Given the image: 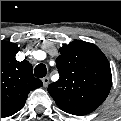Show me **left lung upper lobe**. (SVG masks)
<instances>
[{
  "label": "left lung upper lobe",
  "mask_w": 121,
  "mask_h": 121,
  "mask_svg": "<svg viewBox=\"0 0 121 121\" xmlns=\"http://www.w3.org/2000/svg\"><path fill=\"white\" fill-rule=\"evenodd\" d=\"M56 60L60 78L48 92L63 111L82 115L94 111L109 94L112 75L109 62L94 44L73 41L60 48Z\"/></svg>",
  "instance_id": "obj_1"
}]
</instances>
